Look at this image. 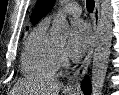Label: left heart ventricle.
Masks as SVG:
<instances>
[{
    "label": "left heart ventricle",
    "instance_id": "obj_1",
    "mask_svg": "<svg viewBox=\"0 0 119 95\" xmlns=\"http://www.w3.org/2000/svg\"><path fill=\"white\" fill-rule=\"evenodd\" d=\"M62 45H63V43L61 42V43H60V46H62Z\"/></svg>",
    "mask_w": 119,
    "mask_h": 95
}]
</instances>
